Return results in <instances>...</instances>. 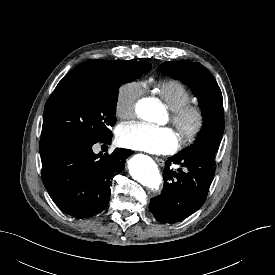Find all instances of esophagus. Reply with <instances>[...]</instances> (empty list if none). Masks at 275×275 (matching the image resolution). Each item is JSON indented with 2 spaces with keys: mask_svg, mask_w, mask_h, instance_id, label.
<instances>
[{
  "mask_svg": "<svg viewBox=\"0 0 275 275\" xmlns=\"http://www.w3.org/2000/svg\"><path fill=\"white\" fill-rule=\"evenodd\" d=\"M155 161L158 163L159 166H164V160L158 157H155Z\"/></svg>",
  "mask_w": 275,
  "mask_h": 275,
  "instance_id": "obj_1",
  "label": "esophagus"
}]
</instances>
